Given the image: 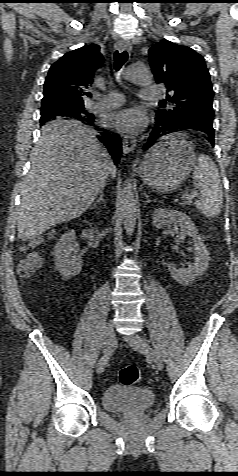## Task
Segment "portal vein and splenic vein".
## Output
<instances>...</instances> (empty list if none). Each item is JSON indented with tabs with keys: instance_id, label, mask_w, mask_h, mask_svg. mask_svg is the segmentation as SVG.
Segmentation results:
<instances>
[{
	"instance_id": "portal-vein-and-splenic-vein-1",
	"label": "portal vein and splenic vein",
	"mask_w": 238,
	"mask_h": 476,
	"mask_svg": "<svg viewBox=\"0 0 238 476\" xmlns=\"http://www.w3.org/2000/svg\"><path fill=\"white\" fill-rule=\"evenodd\" d=\"M196 195V192H191V193H183L181 198L182 199H190Z\"/></svg>"
}]
</instances>
